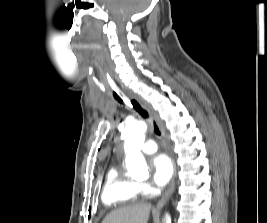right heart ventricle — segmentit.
I'll return each mask as SVG.
<instances>
[{
  "mask_svg": "<svg viewBox=\"0 0 267 223\" xmlns=\"http://www.w3.org/2000/svg\"><path fill=\"white\" fill-rule=\"evenodd\" d=\"M139 194L136 182L124 174L119 166H112L105 177L102 202L110 207L135 200Z\"/></svg>",
  "mask_w": 267,
  "mask_h": 223,
  "instance_id": "1",
  "label": "right heart ventricle"
}]
</instances>
